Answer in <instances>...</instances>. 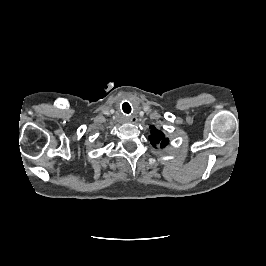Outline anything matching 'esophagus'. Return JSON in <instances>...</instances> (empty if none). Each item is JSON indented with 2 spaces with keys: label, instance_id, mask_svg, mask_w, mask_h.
I'll return each mask as SVG.
<instances>
[{
  "label": "esophagus",
  "instance_id": "esophagus-1",
  "mask_svg": "<svg viewBox=\"0 0 266 266\" xmlns=\"http://www.w3.org/2000/svg\"><path fill=\"white\" fill-rule=\"evenodd\" d=\"M137 117L136 116H132V117H130V121L132 122V123H136L137 122Z\"/></svg>",
  "mask_w": 266,
  "mask_h": 266
}]
</instances>
